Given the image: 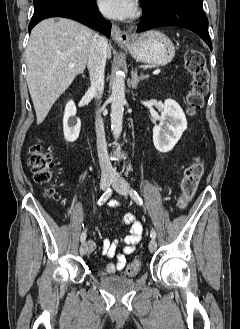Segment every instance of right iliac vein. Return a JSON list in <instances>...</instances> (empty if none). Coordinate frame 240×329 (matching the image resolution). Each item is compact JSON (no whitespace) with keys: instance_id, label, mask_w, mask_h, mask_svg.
Wrapping results in <instances>:
<instances>
[{"instance_id":"obj_1","label":"right iliac vein","mask_w":240,"mask_h":329,"mask_svg":"<svg viewBox=\"0 0 240 329\" xmlns=\"http://www.w3.org/2000/svg\"><path fill=\"white\" fill-rule=\"evenodd\" d=\"M112 182V178L110 176H104L101 179V189L102 190H107L110 186ZM87 253V243L86 242H82L81 246H80V254L81 255H85Z\"/></svg>"}]
</instances>
